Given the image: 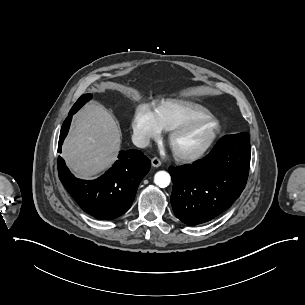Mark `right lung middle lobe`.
<instances>
[{"mask_svg":"<svg viewBox=\"0 0 305 305\" xmlns=\"http://www.w3.org/2000/svg\"><path fill=\"white\" fill-rule=\"evenodd\" d=\"M92 98L91 94H84L82 95L77 102L74 104L75 106H78V108L82 107L87 101H89Z\"/></svg>","mask_w":305,"mask_h":305,"instance_id":"right-lung-middle-lobe-1","label":"right lung middle lobe"}]
</instances>
